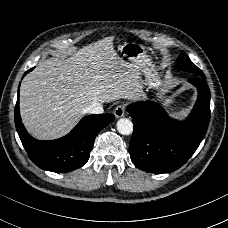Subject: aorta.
<instances>
[{
    "label": "aorta",
    "mask_w": 228,
    "mask_h": 228,
    "mask_svg": "<svg viewBox=\"0 0 228 228\" xmlns=\"http://www.w3.org/2000/svg\"><path fill=\"white\" fill-rule=\"evenodd\" d=\"M116 127L122 135H130L133 132V123L128 118H120L117 121Z\"/></svg>",
    "instance_id": "obj_1"
}]
</instances>
